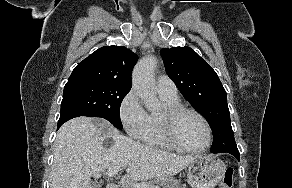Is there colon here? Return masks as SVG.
<instances>
[{
	"mask_svg": "<svg viewBox=\"0 0 292 188\" xmlns=\"http://www.w3.org/2000/svg\"><path fill=\"white\" fill-rule=\"evenodd\" d=\"M233 185V169L231 167L226 168L222 181L218 188H232Z\"/></svg>",
	"mask_w": 292,
	"mask_h": 188,
	"instance_id": "5ec220e1",
	"label": "colon"
}]
</instances>
